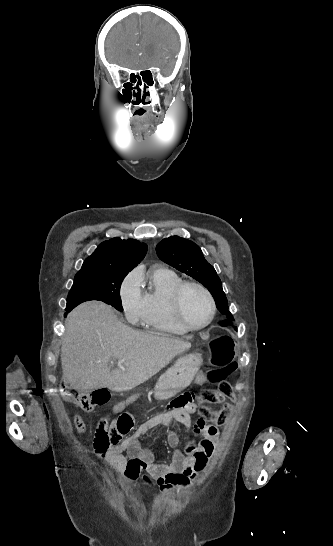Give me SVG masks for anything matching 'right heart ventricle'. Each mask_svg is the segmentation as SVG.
Here are the masks:
<instances>
[{"mask_svg":"<svg viewBox=\"0 0 333 546\" xmlns=\"http://www.w3.org/2000/svg\"><path fill=\"white\" fill-rule=\"evenodd\" d=\"M183 279L173 270L155 268L141 280L143 301L142 323L150 330L169 335L183 336L188 333L172 311L171 297Z\"/></svg>","mask_w":333,"mask_h":546,"instance_id":"1","label":"right heart ventricle"}]
</instances>
